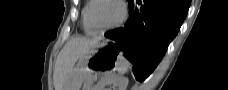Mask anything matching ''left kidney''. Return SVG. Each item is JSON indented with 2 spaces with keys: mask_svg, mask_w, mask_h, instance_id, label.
<instances>
[{
  "mask_svg": "<svg viewBox=\"0 0 228 90\" xmlns=\"http://www.w3.org/2000/svg\"><path fill=\"white\" fill-rule=\"evenodd\" d=\"M113 85L115 90H126L128 79L125 77L117 76L116 74H106L94 87V90H105V86Z\"/></svg>",
  "mask_w": 228,
  "mask_h": 90,
  "instance_id": "left-kidney-1",
  "label": "left kidney"
}]
</instances>
